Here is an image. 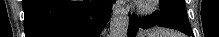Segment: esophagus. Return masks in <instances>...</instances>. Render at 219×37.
<instances>
[{
	"label": "esophagus",
	"mask_w": 219,
	"mask_h": 37,
	"mask_svg": "<svg viewBox=\"0 0 219 37\" xmlns=\"http://www.w3.org/2000/svg\"><path fill=\"white\" fill-rule=\"evenodd\" d=\"M111 3H112V8L115 9V8H117L120 1L119 0H112Z\"/></svg>",
	"instance_id": "34e87169"
}]
</instances>
